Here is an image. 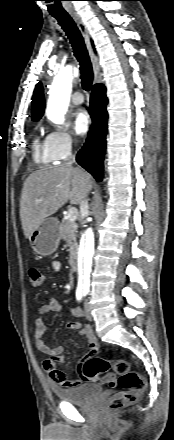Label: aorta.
Returning <instances> with one entry per match:
<instances>
[{
    "mask_svg": "<svg viewBox=\"0 0 174 440\" xmlns=\"http://www.w3.org/2000/svg\"><path fill=\"white\" fill-rule=\"evenodd\" d=\"M73 78L74 68L71 65L60 69L54 77L46 113L48 118L55 124L64 123V115L70 102ZM93 255L94 232L92 228H88L82 235L78 255L79 289H89Z\"/></svg>",
    "mask_w": 174,
    "mask_h": 440,
    "instance_id": "aorta-1",
    "label": "aorta"
}]
</instances>
